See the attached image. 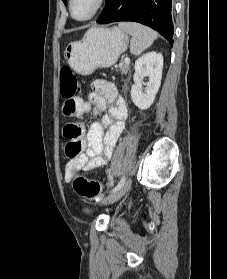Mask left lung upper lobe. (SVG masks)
<instances>
[{"instance_id": "left-lung-upper-lobe-1", "label": "left lung upper lobe", "mask_w": 227, "mask_h": 279, "mask_svg": "<svg viewBox=\"0 0 227 279\" xmlns=\"http://www.w3.org/2000/svg\"><path fill=\"white\" fill-rule=\"evenodd\" d=\"M63 2L66 4V0H63Z\"/></svg>"}]
</instances>
